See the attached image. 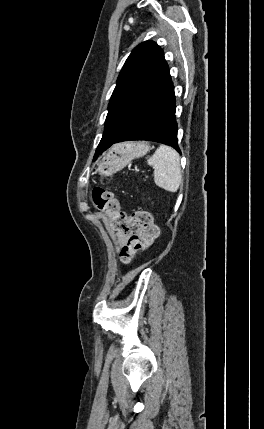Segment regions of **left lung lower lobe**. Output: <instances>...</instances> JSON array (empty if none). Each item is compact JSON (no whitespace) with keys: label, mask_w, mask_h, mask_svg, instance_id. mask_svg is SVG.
<instances>
[{"label":"left lung lower lobe","mask_w":264,"mask_h":429,"mask_svg":"<svg viewBox=\"0 0 264 429\" xmlns=\"http://www.w3.org/2000/svg\"><path fill=\"white\" fill-rule=\"evenodd\" d=\"M175 108L174 86L168 68L159 83L140 102L124 131L113 144L128 140H148L172 146L180 153ZM110 146L96 150L94 159Z\"/></svg>","instance_id":"left-lung-lower-lobe-1"}]
</instances>
